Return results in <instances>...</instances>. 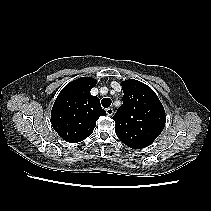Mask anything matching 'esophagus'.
<instances>
[{
	"mask_svg": "<svg viewBox=\"0 0 211 211\" xmlns=\"http://www.w3.org/2000/svg\"><path fill=\"white\" fill-rule=\"evenodd\" d=\"M106 114H107L108 116H113V114H114L113 108H107V109H106Z\"/></svg>",
	"mask_w": 211,
	"mask_h": 211,
	"instance_id": "1",
	"label": "esophagus"
}]
</instances>
